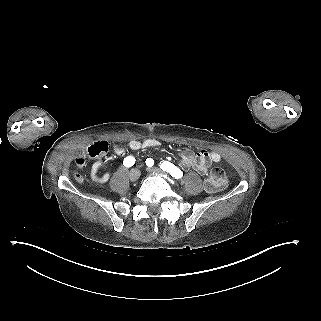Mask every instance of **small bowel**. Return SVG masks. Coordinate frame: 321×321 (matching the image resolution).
Returning <instances> with one entry per match:
<instances>
[{"mask_svg":"<svg viewBox=\"0 0 321 321\" xmlns=\"http://www.w3.org/2000/svg\"><path fill=\"white\" fill-rule=\"evenodd\" d=\"M160 144L157 139H145V140H131L129 142V147L133 150H140L144 148L156 147ZM109 146L106 141H96L92 143L86 149L85 153L79 154L75 161L78 164L85 162L86 154L98 158L91 168V177L95 182L106 183L109 180L110 174L106 171L103 175L99 176L98 171L100 169H107L108 162L102 157L108 151ZM113 151L117 156L125 155V148L121 145H114ZM221 160V155L215 151L201 150L194 153L189 150H183L179 154V163L185 170L193 169L201 175H205L209 170L210 166L214 162H219Z\"/></svg>","mask_w":321,"mask_h":321,"instance_id":"1","label":"small bowel"}]
</instances>
